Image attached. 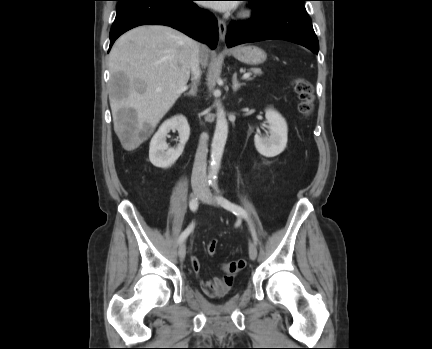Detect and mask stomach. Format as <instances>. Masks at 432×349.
<instances>
[{
    "instance_id": "0dacf381",
    "label": "stomach",
    "mask_w": 432,
    "mask_h": 349,
    "mask_svg": "<svg viewBox=\"0 0 432 349\" xmlns=\"http://www.w3.org/2000/svg\"><path fill=\"white\" fill-rule=\"evenodd\" d=\"M234 58L247 65H259L266 61L267 54L264 50L253 45H242L231 50Z\"/></svg>"
}]
</instances>
